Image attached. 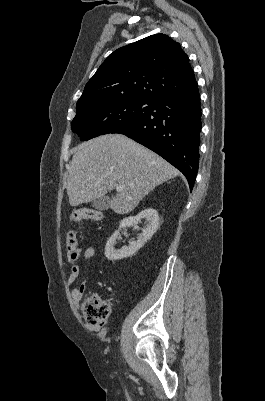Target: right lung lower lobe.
I'll return each mask as SVG.
<instances>
[{
    "mask_svg": "<svg viewBox=\"0 0 265 401\" xmlns=\"http://www.w3.org/2000/svg\"><path fill=\"white\" fill-rule=\"evenodd\" d=\"M200 132L196 83L184 92L162 98L151 115L114 133L124 134L162 156L184 174L192 190L199 167Z\"/></svg>",
    "mask_w": 265,
    "mask_h": 401,
    "instance_id": "1",
    "label": "right lung lower lobe"
}]
</instances>
